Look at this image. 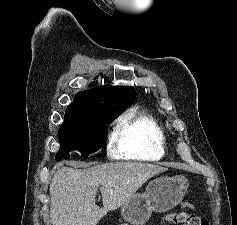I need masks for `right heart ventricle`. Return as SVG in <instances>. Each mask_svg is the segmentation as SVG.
Here are the masks:
<instances>
[{
	"instance_id": "e07e8e85",
	"label": "right heart ventricle",
	"mask_w": 237,
	"mask_h": 225,
	"mask_svg": "<svg viewBox=\"0 0 237 225\" xmlns=\"http://www.w3.org/2000/svg\"><path fill=\"white\" fill-rule=\"evenodd\" d=\"M113 153L118 159L156 161L167 154V139L159 123L146 114L128 113L113 133Z\"/></svg>"
}]
</instances>
